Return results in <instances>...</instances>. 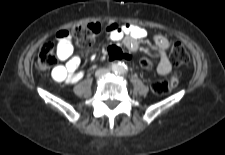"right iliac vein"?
<instances>
[{"instance_id": "63e3f726", "label": "right iliac vein", "mask_w": 225, "mask_h": 155, "mask_svg": "<svg viewBox=\"0 0 225 155\" xmlns=\"http://www.w3.org/2000/svg\"><path fill=\"white\" fill-rule=\"evenodd\" d=\"M100 75H101V72H98V73H97V76H100Z\"/></svg>"}]
</instances>
